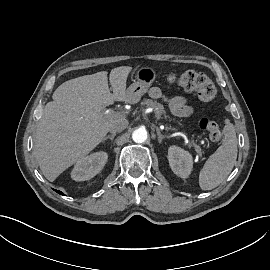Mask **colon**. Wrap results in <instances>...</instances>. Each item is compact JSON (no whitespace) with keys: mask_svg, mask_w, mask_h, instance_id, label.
<instances>
[{"mask_svg":"<svg viewBox=\"0 0 270 270\" xmlns=\"http://www.w3.org/2000/svg\"><path fill=\"white\" fill-rule=\"evenodd\" d=\"M169 83H177L187 91L195 92L198 98L203 102H209L216 96V87L210 78L198 71L189 70L177 77L175 74L167 76ZM199 126L204 130L212 141H219L221 139V126L218 122L202 118Z\"/></svg>","mask_w":270,"mask_h":270,"instance_id":"1","label":"colon"}]
</instances>
